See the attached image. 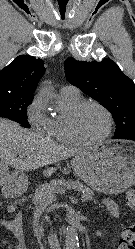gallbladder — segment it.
<instances>
[{
    "instance_id": "bac80fb5",
    "label": "gallbladder",
    "mask_w": 135,
    "mask_h": 249,
    "mask_svg": "<svg viewBox=\"0 0 135 249\" xmlns=\"http://www.w3.org/2000/svg\"><path fill=\"white\" fill-rule=\"evenodd\" d=\"M7 165H5L4 163L0 162V185L2 184V180H1V176L4 172L7 171Z\"/></svg>"
}]
</instances>
